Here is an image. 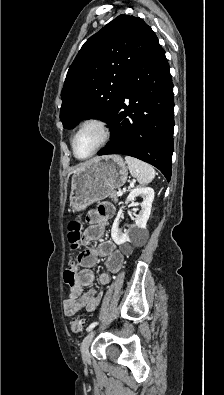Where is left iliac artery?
I'll return each instance as SVG.
<instances>
[{"label":"left iliac artery","mask_w":224,"mask_h":395,"mask_svg":"<svg viewBox=\"0 0 224 395\" xmlns=\"http://www.w3.org/2000/svg\"><path fill=\"white\" fill-rule=\"evenodd\" d=\"M98 322H93L91 323L88 328H87V332H90L95 326H97Z\"/></svg>","instance_id":"left-iliac-artery-1"}]
</instances>
